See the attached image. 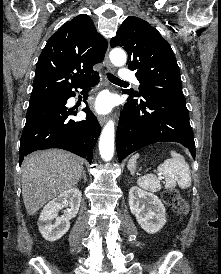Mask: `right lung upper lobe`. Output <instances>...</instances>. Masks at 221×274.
<instances>
[{"instance_id":"1","label":"right lung upper lobe","mask_w":221,"mask_h":274,"mask_svg":"<svg viewBox=\"0 0 221 274\" xmlns=\"http://www.w3.org/2000/svg\"><path fill=\"white\" fill-rule=\"evenodd\" d=\"M106 50L107 41L88 15L66 22L38 59L30 101L63 95L97 76L93 66L103 60Z\"/></svg>"}]
</instances>
